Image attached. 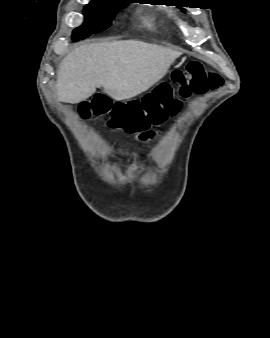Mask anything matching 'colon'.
Instances as JSON below:
<instances>
[{
	"instance_id": "colon-1",
	"label": "colon",
	"mask_w": 270,
	"mask_h": 338,
	"mask_svg": "<svg viewBox=\"0 0 270 338\" xmlns=\"http://www.w3.org/2000/svg\"><path fill=\"white\" fill-rule=\"evenodd\" d=\"M177 88L168 83L158 85L152 93L145 95L141 100L134 99L129 102L118 101L111 103L109 97L97 92L90 102L82 107V117L100 116L114 110L112 126L126 128L141 132L140 138L145 140L149 133L144 131L150 126L161 125L169 116H173L179 109V102L175 95L188 97L192 92L205 93L207 90L217 89L222 79L215 73H206L198 61H191L187 65V72L175 71L172 75ZM125 116L132 119L131 125L125 124Z\"/></svg>"
}]
</instances>
